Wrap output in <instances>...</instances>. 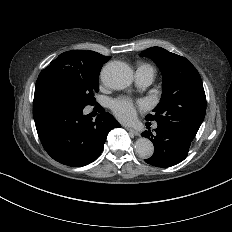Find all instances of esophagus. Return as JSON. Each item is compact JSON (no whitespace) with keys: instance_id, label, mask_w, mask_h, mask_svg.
Segmentation results:
<instances>
[{"instance_id":"34e87169","label":"esophagus","mask_w":232,"mask_h":232,"mask_svg":"<svg viewBox=\"0 0 232 232\" xmlns=\"http://www.w3.org/2000/svg\"><path fill=\"white\" fill-rule=\"evenodd\" d=\"M129 132H131V133H133L134 135H136V136H138L140 133H139V131H137V130H135V129H133V128H129V127H127L126 128Z\"/></svg>"}]
</instances>
